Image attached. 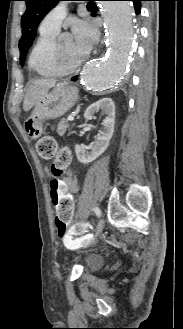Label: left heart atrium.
<instances>
[{"label": "left heart atrium", "mask_w": 183, "mask_h": 329, "mask_svg": "<svg viewBox=\"0 0 183 329\" xmlns=\"http://www.w3.org/2000/svg\"><path fill=\"white\" fill-rule=\"evenodd\" d=\"M74 44L76 48L88 53L98 38V31L94 24L88 20H76L72 24Z\"/></svg>", "instance_id": "1"}]
</instances>
